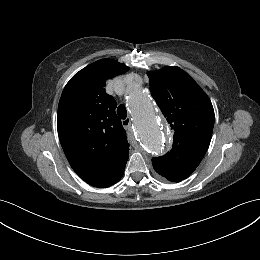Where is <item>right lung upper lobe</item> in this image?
I'll return each mask as SVG.
<instances>
[{
	"label": "right lung upper lobe",
	"instance_id": "1",
	"mask_svg": "<svg viewBox=\"0 0 260 260\" xmlns=\"http://www.w3.org/2000/svg\"><path fill=\"white\" fill-rule=\"evenodd\" d=\"M129 68L112 59L98 60L76 73L65 86L58 106L57 127L66 158L91 186L109 187L123 176L129 144L116 101L106 81Z\"/></svg>",
	"mask_w": 260,
	"mask_h": 260
}]
</instances>
